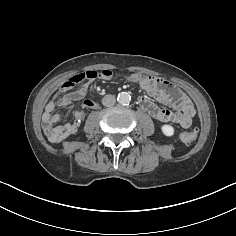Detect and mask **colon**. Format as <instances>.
<instances>
[{
	"label": "colon",
	"mask_w": 236,
	"mask_h": 236,
	"mask_svg": "<svg viewBox=\"0 0 236 236\" xmlns=\"http://www.w3.org/2000/svg\"><path fill=\"white\" fill-rule=\"evenodd\" d=\"M100 76H108V77H111L112 76V72L109 71V70H103L100 74ZM135 75L134 74H131V75H128L126 77V79L128 81H134L135 80ZM197 138V131L194 130V131H191V132H185V133H182L181 134V140L184 142V143H191L192 141H194L195 139Z\"/></svg>",
	"instance_id": "colon-1"
}]
</instances>
